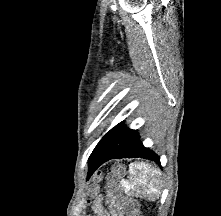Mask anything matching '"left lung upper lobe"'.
Masks as SVG:
<instances>
[{"label": "left lung upper lobe", "mask_w": 221, "mask_h": 216, "mask_svg": "<svg viewBox=\"0 0 221 216\" xmlns=\"http://www.w3.org/2000/svg\"><path fill=\"white\" fill-rule=\"evenodd\" d=\"M137 133V130L127 128L124 121H122L102 137L95 149L103 148L114 153L120 152Z\"/></svg>", "instance_id": "1"}]
</instances>
